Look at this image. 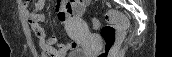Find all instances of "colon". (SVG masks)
<instances>
[{
    "label": "colon",
    "mask_w": 172,
    "mask_h": 57,
    "mask_svg": "<svg viewBox=\"0 0 172 57\" xmlns=\"http://www.w3.org/2000/svg\"><path fill=\"white\" fill-rule=\"evenodd\" d=\"M105 19L108 24L104 26H101L99 20L92 19L93 28L100 29L104 42V48L99 52L98 57H112L113 51L122 41L124 31L129 26L127 18L116 10L106 12Z\"/></svg>",
    "instance_id": "colon-1"
}]
</instances>
